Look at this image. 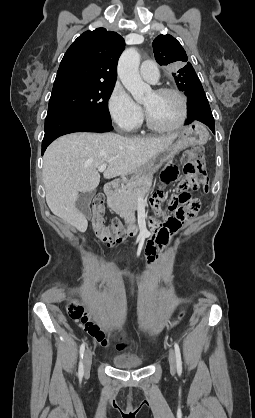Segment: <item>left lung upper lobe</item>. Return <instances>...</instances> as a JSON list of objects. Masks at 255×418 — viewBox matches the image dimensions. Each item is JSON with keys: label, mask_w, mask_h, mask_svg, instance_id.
<instances>
[{"label": "left lung upper lobe", "mask_w": 255, "mask_h": 418, "mask_svg": "<svg viewBox=\"0 0 255 418\" xmlns=\"http://www.w3.org/2000/svg\"><path fill=\"white\" fill-rule=\"evenodd\" d=\"M153 51L156 61L160 65H172L175 67L174 73L178 88L186 96L204 93L202 84L192 67L185 50L181 44L171 35H159L153 41ZM178 68H180L178 70Z\"/></svg>", "instance_id": "left-lung-upper-lobe-1"}]
</instances>
